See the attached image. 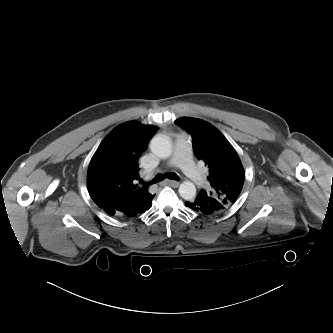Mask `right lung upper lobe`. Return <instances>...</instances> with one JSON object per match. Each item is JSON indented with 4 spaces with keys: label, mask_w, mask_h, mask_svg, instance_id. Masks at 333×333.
<instances>
[{
    "label": "right lung upper lobe",
    "mask_w": 333,
    "mask_h": 333,
    "mask_svg": "<svg viewBox=\"0 0 333 333\" xmlns=\"http://www.w3.org/2000/svg\"><path fill=\"white\" fill-rule=\"evenodd\" d=\"M157 130L130 121L117 126L101 142L87 173L88 192L99 208L132 217L151 207L154 195L138 183H142L138 159Z\"/></svg>",
    "instance_id": "cb5924a9"
}]
</instances>
